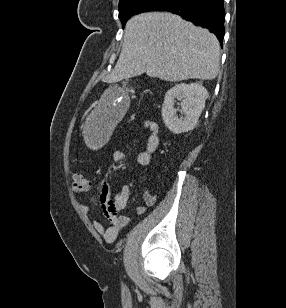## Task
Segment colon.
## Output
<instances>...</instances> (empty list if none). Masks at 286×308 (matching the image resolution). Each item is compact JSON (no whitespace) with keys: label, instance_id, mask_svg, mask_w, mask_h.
<instances>
[{"label":"colon","instance_id":"5ec220e1","mask_svg":"<svg viewBox=\"0 0 286 308\" xmlns=\"http://www.w3.org/2000/svg\"><path fill=\"white\" fill-rule=\"evenodd\" d=\"M90 187L89 180L81 173H74L72 175V190L74 192H84Z\"/></svg>","mask_w":286,"mask_h":308}]
</instances>
